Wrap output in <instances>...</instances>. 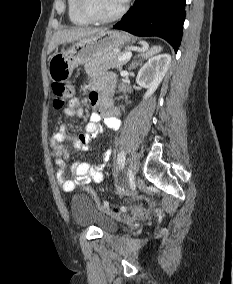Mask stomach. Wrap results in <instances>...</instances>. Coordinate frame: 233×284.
<instances>
[{
  "label": "stomach",
  "mask_w": 233,
  "mask_h": 284,
  "mask_svg": "<svg viewBox=\"0 0 233 284\" xmlns=\"http://www.w3.org/2000/svg\"><path fill=\"white\" fill-rule=\"evenodd\" d=\"M130 41L131 38L123 32L104 29L77 41L70 49L52 55L48 75L53 82H65L79 65L90 63Z\"/></svg>",
  "instance_id": "0dacf381"
}]
</instances>
